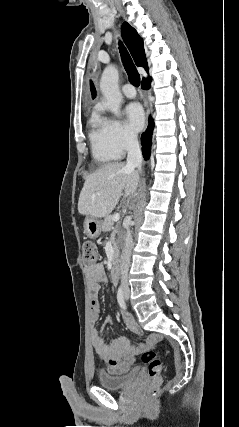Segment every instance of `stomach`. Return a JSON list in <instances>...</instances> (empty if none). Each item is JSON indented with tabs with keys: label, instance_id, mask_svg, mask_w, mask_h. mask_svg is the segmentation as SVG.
<instances>
[{
	"label": "stomach",
	"instance_id": "obj_1",
	"mask_svg": "<svg viewBox=\"0 0 239 427\" xmlns=\"http://www.w3.org/2000/svg\"><path fill=\"white\" fill-rule=\"evenodd\" d=\"M101 225L100 220L88 216L84 221V232L89 238L96 239L101 233Z\"/></svg>",
	"mask_w": 239,
	"mask_h": 427
}]
</instances>
